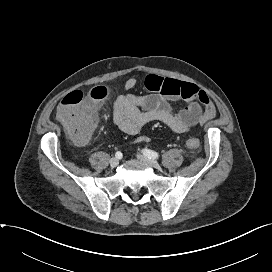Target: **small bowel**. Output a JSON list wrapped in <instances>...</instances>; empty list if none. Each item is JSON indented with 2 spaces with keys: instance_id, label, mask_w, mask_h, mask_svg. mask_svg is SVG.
Returning <instances> with one entry per match:
<instances>
[{
  "instance_id": "1",
  "label": "small bowel",
  "mask_w": 272,
  "mask_h": 272,
  "mask_svg": "<svg viewBox=\"0 0 272 272\" xmlns=\"http://www.w3.org/2000/svg\"><path fill=\"white\" fill-rule=\"evenodd\" d=\"M138 84L136 77L125 81L124 93L114 102L113 121L126 134L136 135L143 126L159 121L177 133H186L197 124L215 118L216 107L206 92L189 82L149 74L144 79L151 92L136 96L131 90ZM184 101L180 110H174L170 102ZM142 136L138 142H146Z\"/></svg>"
}]
</instances>
